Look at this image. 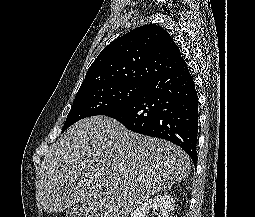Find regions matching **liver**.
Segmentation results:
<instances>
[{"mask_svg":"<svg viewBox=\"0 0 255 217\" xmlns=\"http://www.w3.org/2000/svg\"><path fill=\"white\" fill-rule=\"evenodd\" d=\"M190 168L189 156L177 145L94 116L72 125L45 155L37 204L47 213L87 204L94 217H125L186 178Z\"/></svg>","mask_w":255,"mask_h":217,"instance_id":"1","label":"liver"}]
</instances>
